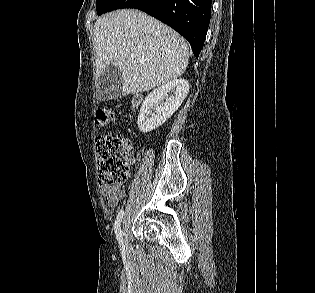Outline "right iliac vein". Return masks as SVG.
Instances as JSON below:
<instances>
[{"label": "right iliac vein", "instance_id": "1", "mask_svg": "<svg viewBox=\"0 0 315 293\" xmlns=\"http://www.w3.org/2000/svg\"><path fill=\"white\" fill-rule=\"evenodd\" d=\"M125 247H126V249H128V244L127 243L125 244Z\"/></svg>", "mask_w": 315, "mask_h": 293}]
</instances>
